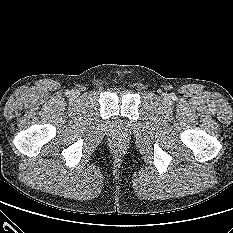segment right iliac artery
<instances>
[{
  "mask_svg": "<svg viewBox=\"0 0 233 233\" xmlns=\"http://www.w3.org/2000/svg\"><path fill=\"white\" fill-rule=\"evenodd\" d=\"M65 94H66L67 96H69V95L71 94V92L67 90V91L65 92Z\"/></svg>",
  "mask_w": 233,
  "mask_h": 233,
  "instance_id": "82829eb1",
  "label": "right iliac artery"
}]
</instances>
